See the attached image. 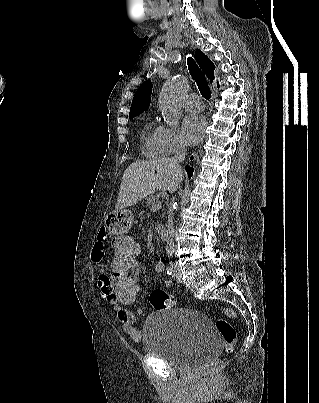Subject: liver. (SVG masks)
I'll list each match as a JSON object with an SVG mask.
<instances>
[{"label":"liver","mask_w":319,"mask_h":403,"mask_svg":"<svg viewBox=\"0 0 319 403\" xmlns=\"http://www.w3.org/2000/svg\"><path fill=\"white\" fill-rule=\"evenodd\" d=\"M182 179V169H175L170 159L135 161L123 174L115 209L133 206L157 190L171 192Z\"/></svg>","instance_id":"obj_1"}]
</instances>
